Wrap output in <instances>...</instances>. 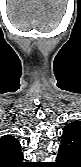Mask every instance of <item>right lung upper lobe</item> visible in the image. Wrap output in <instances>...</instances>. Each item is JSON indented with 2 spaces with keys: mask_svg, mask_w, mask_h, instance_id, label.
Wrapping results in <instances>:
<instances>
[{
  "mask_svg": "<svg viewBox=\"0 0 81 167\" xmlns=\"http://www.w3.org/2000/svg\"><path fill=\"white\" fill-rule=\"evenodd\" d=\"M23 154L19 141L12 135H5L0 139V166L1 167H20Z\"/></svg>",
  "mask_w": 81,
  "mask_h": 167,
  "instance_id": "right-lung-upper-lobe-1",
  "label": "right lung upper lobe"
}]
</instances>
